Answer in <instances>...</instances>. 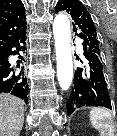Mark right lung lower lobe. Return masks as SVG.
<instances>
[{"label": "right lung lower lobe", "instance_id": "98d812e1", "mask_svg": "<svg viewBox=\"0 0 117 136\" xmlns=\"http://www.w3.org/2000/svg\"><path fill=\"white\" fill-rule=\"evenodd\" d=\"M26 41V25L21 28L3 47L0 49V93H10L27 103L28 84L23 71ZM11 55H19L18 64L9 62Z\"/></svg>", "mask_w": 117, "mask_h": 136}]
</instances>
